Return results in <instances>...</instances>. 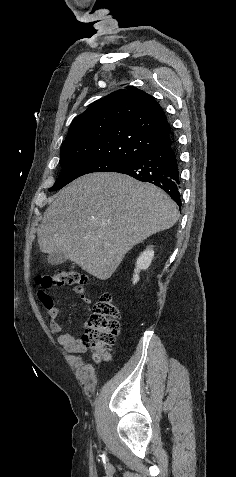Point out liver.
I'll use <instances>...</instances> for the list:
<instances>
[{
	"label": "liver",
	"instance_id": "6515ba94",
	"mask_svg": "<svg viewBox=\"0 0 236 477\" xmlns=\"http://www.w3.org/2000/svg\"><path fill=\"white\" fill-rule=\"evenodd\" d=\"M178 218L176 204L160 188L120 173H93L54 196L37 230L38 244L107 280L128 251Z\"/></svg>",
	"mask_w": 236,
	"mask_h": 477
}]
</instances>
